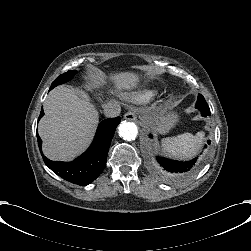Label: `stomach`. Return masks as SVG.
I'll return each instance as SVG.
<instances>
[{
	"instance_id": "obj_1",
	"label": "stomach",
	"mask_w": 251,
	"mask_h": 251,
	"mask_svg": "<svg viewBox=\"0 0 251 251\" xmlns=\"http://www.w3.org/2000/svg\"><path fill=\"white\" fill-rule=\"evenodd\" d=\"M142 121L150 126L152 131L158 135H168L181 122V113L172 104L166 101L158 103L155 112L151 117L143 115ZM148 122V123H147Z\"/></svg>"
}]
</instances>
